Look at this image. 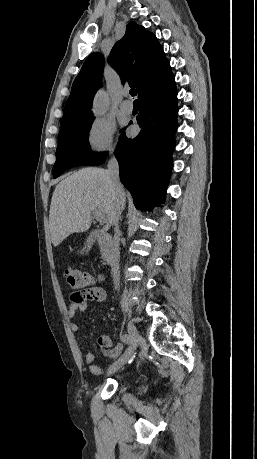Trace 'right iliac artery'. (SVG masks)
<instances>
[{
  "mask_svg": "<svg viewBox=\"0 0 257 459\" xmlns=\"http://www.w3.org/2000/svg\"><path fill=\"white\" fill-rule=\"evenodd\" d=\"M121 340L125 343V344H129V341H130V336L128 334H123L121 336ZM127 353V351L124 353V355Z\"/></svg>",
  "mask_w": 257,
  "mask_h": 459,
  "instance_id": "obj_1",
  "label": "right iliac artery"
}]
</instances>
